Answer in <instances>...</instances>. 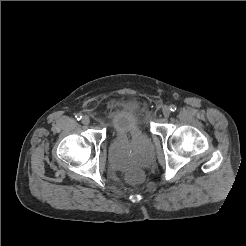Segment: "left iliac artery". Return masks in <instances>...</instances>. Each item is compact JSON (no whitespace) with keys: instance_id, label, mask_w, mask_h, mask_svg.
Instances as JSON below:
<instances>
[{"instance_id":"obj_1","label":"left iliac artery","mask_w":246,"mask_h":246,"mask_svg":"<svg viewBox=\"0 0 246 246\" xmlns=\"http://www.w3.org/2000/svg\"><path fill=\"white\" fill-rule=\"evenodd\" d=\"M169 109H170V111L174 112V111H176L177 107L172 104V105H170Z\"/></svg>"}]
</instances>
